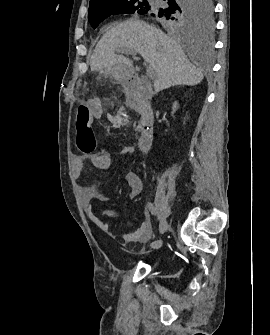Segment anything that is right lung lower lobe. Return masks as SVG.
<instances>
[{
	"label": "right lung lower lobe",
	"instance_id": "98d812e1",
	"mask_svg": "<svg viewBox=\"0 0 270 335\" xmlns=\"http://www.w3.org/2000/svg\"><path fill=\"white\" fill-rule=\"evenodd\" d=\"M164 1H166V2H165V4H164L163 6L167 5V0H164ZM161 7H162V6H161Z\"/></svg>",
	"mask_w": 270,
	"mask_h": 335
}]
</instances>
